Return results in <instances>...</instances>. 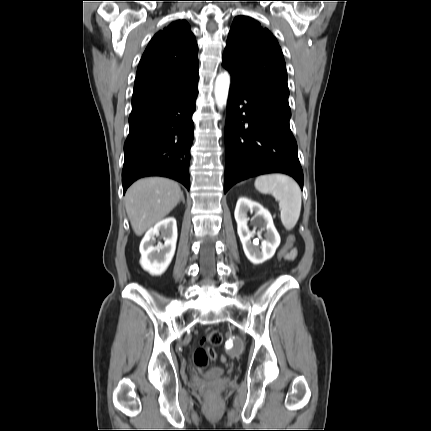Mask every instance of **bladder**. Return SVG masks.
I'll return each mask as SVG.
<instances>
[{
    "label": "bladder",
    "instance_id": "31cf9c89",
    "mask_svg": "<svg viewBox=\"0 0 431 431\" xmlns=\"http://www.w3.org/2000/svg\"><path fill=\"white\" fill-rule=\"evenodd\" d=\"M227 370L223 367H212L208 370L206 376L209 378H216L224 375Z\"/></svg>",
    "mask_w": 431,
    "mask_h": 431
}]
</instances>
